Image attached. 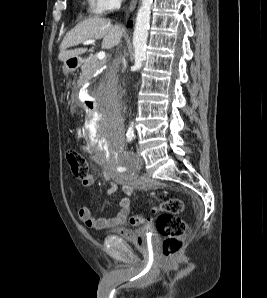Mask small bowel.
<instances>
[{"label": "small bowel", "mask_w": 267, "mask_h": 298, "mask_svg": "<svg viewBox=\"0 0 267 298\" xmlns=\"http://www.w3.org/2000/svg\"><path fill=\"white\" fill-rule=\"evenodd\" d=\"M104 178L109 183V188L107 190L109 196H113L117 192L118 186L121 187L122 191L126 195L119 201L117 213L107 218H97L94 216L93 210L90 207L81 206L78 209L79 218L89 228L95 230L119 229L121 234L128 235L130 233L129 230L123 226L125 225L130 213L129 196L133 193L134 185L121 174L105 172ZM144 183L150 188L156 187L155 183L151 181H145ZM82 184L86 187L92 186L94 184V177L89 175L87 181Z\"/></svg>", "instance_id": "obj_1"}]
</instances>
